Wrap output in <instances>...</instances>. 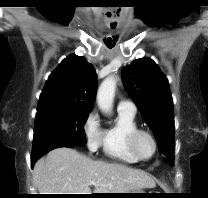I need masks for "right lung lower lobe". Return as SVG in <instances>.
I'll use <instances>...</instances> for the list:
<instances>
[{
	"instance_id": "98d812e1",
	"label": "right lung lower lobe",
	"mask_w": 208,
	"mask_h": 198,
	"mask_svg": "<svg viewBox=\"0 0 208 198\" xmlns=\"http://www.w3.org/2000/svg\"><path fill=\"white\" fill-rule=\"evenodd\" d=\"M72 146H75V145L65 142V141H57V142L51 143L48 146L44 147L43 150L40 151L39 153H33L32 158H31V163L33 165L38 158H40L42 155H44L45 153L53 149L60 148V147H72Z\"/></svg>"
}]
</instances>
